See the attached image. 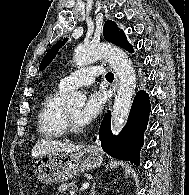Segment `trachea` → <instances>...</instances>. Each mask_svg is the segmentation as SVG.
<instances>
[{
	"mask_svg": "<svg viewBox=\"0 0 189 195\" xmlns=\"http://www.w3.org/2000/svg\"><path fill=\"white\" fill-rule=\"evenodd\" d=\"M114 78V74L109 72L106 74V79L109 80V79H113Z\"/></svg>",
	"mask_w": 189,
	"mask_h": 195,
	"instance_id": "1",
	"label": "trachea"
}]
</instances>
